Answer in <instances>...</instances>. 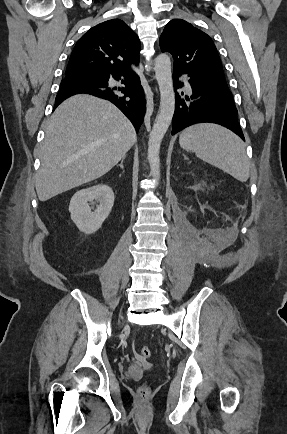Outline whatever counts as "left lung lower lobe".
Listing matches in <instances>:
<instances>
[{
  "mask_svg": "<svg viewBox=\"0 0 287 434\" xmlns=\"http://www.w3.org/2000/svg\"><path fill=\"white\" fill-rule=\"evenodd\" d=\"M173 71L175 89L183 86V82L178 81L180 74L188 73L192 95L181 98L176 93L172 135L190 125L210 122L232 130L244 140L242 129L237 120V109L229 88L217 85L203 76L185 69L174 67ZM181 94L183 95V93Z\"/></svg>",
  "mask_w": 287,
  "mask_h": 434,
  "instance_id": "1",
  "label": "left lung lower lobe"
}]
</instances>
